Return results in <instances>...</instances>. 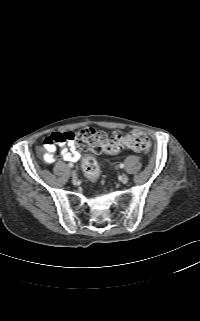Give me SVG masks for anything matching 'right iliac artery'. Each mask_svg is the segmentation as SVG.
I'll use <instances>...</instances> for the list:
<instances>
[{"label": "right iliac artery", "instance_id": "82829eb1", "mask_svg": "<svg viewBox=\"0 0 200 321\" xmlns=\"http://www.w3.org/2000/svg\"><path fill=\"white\" fill-rule=\"evenodd\" d=\"M68 166L72 168L74 165L72 163H69Z\"/></svg>", "mask_w": 200, "mask_h": 321}]
</instances>
